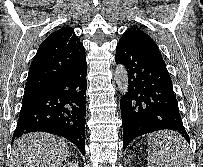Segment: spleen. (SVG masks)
Instances as JSON below:
<instances>
[{"label": "spleen", "mask_w": 203, "mask_h": 167, "mask_svg": "<svg viewBox=\"0 0 203 167\" xmlns=\"http://www.w3.org/2000/svg\"><path fill=\"white\" fill-rule=\"evenodd\" d=\"M189 151L184 139L169 133L159 140L149 137L148 167H189Z\"/></svg>", "instance_id": "1"}]
</instances>
